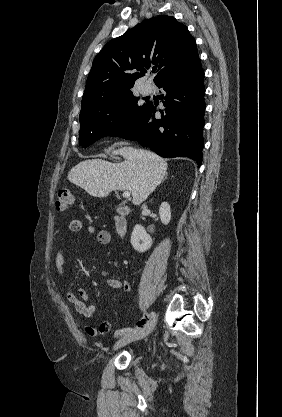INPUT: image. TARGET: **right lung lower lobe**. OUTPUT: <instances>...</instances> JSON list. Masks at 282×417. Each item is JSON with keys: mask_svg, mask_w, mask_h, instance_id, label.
Returning <instances> with one entry per match:
<instances>
[{"mask_svg": "<svg viewBox=\"0 0 282 417\" xmlns=\"http://www.w3.org/2000/svg\"><path fill=\"white\" fill-rule=\"evenodd\" d=\"M157 86L163 88L164 95L161 96L166 100L162 119L155 118L156 107L148 103L131 129L118 137L138 141L162 157H189L200 167L205 111L204 72L200 59L162 79Z\"/></svg>", "mask_w": 282, "mask_h": 417, "instance_id": "right-lung-lower-lobe-1", "label": "right lung lower lobe"}]
</instances>
